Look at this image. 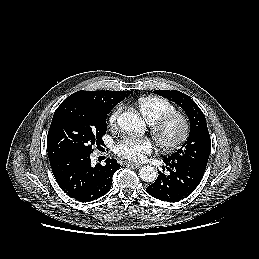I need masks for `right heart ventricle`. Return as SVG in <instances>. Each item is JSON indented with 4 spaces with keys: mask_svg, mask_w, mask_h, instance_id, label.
Masks as SVG:
<instances>
[{
    "mask_svg": "<svg viewBox=\"0 0 259 259\" xmlns=\"http://www.w3.org/2000/svg\"><path fill=\"white\" fill-rule=\"evenodd\" d=\"M136 105L149 124L168 112L176 111L175 106L169 100L160 96H142L138 98Z\"/></svg>",
    "mask_w": 259,
    "mask_h": 259,
    "instance_id": "e07e8e85",
    "label": "right heart ventricle"
}]
</instances>
